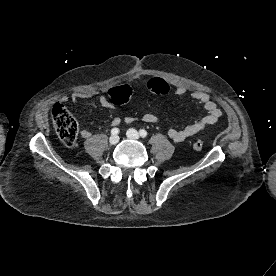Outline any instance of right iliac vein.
<instances>
[{
	"instance_id": "63e3f726",
	"label": "right iliac vein",
	"mask_w": 276,
	"mask_h": 276,
	"mask_svg": "<svg viewBox=\"0 0 276 276\" xmlns=\"http://www.w3.org/2000/svg\"><path fill=\"white\" fill-rule=\"evenodd\" d=\"M109 142L111 145H116L119 142V136L118 135H112L109 139Z\"/></svg>"
}]
</instances>
